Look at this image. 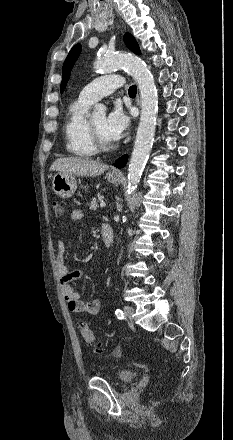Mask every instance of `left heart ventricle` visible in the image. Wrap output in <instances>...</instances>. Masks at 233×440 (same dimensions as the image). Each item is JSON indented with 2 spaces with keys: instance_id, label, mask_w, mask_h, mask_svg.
<instances>
[{
  "instance_id": "1",
  "label": "left heart ventricle",
  "mask_w": 233,
  "mask_h": 440,
  "mask_svg": "<svg viewBox=\"0 0 233 440\" xmlns=\"http://www.w3.org/2000/svg\"><path fill=\"white\" fill-rule=\"evenodd\" d=\"M91 122L105 140L113 141L106 132V116L104 114L94 116L91 119Z\"/></svg>"
}]
</instances>
